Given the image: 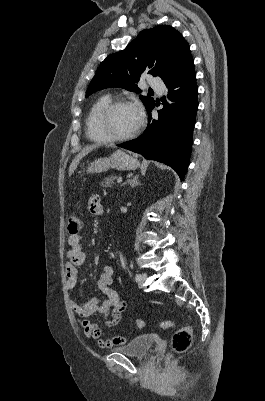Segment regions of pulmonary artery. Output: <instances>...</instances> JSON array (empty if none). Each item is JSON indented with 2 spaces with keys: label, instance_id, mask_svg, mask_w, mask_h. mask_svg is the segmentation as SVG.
<instances>
[{
  "label": "pulmonary artery",
  "instance_id": "obj_1",
  "mask_svg": "<svg viewBox=\"0 0 265 401\" xmlns=\"http://www.w3.org/2000/svg\"><path fill=\"white\" fill-rule=\"evenodd\" d=\"M152 90H163L164 83L163 81H159V77H153V81L151 83Z\"/></svg>",
  "mask_w": 265,
  "mask_h": 401
}]
</instances>
